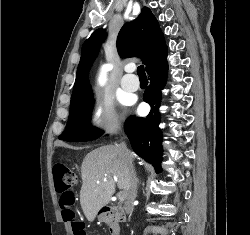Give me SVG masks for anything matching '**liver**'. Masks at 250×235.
I'll list each match as a JSON object with an SVG mask.
<instances>
[{
  "label": "liver",
  "mask_w": 250,
  "mask_h": 235,
  "mask_svg": "<svg viewBox=\"0 0 250 235\" xmlns=\"http://www.w3.org/2000/svg\"><path fill=\"white\" fill-rule=\"evenodd\" d=\"M81 176L80 204L90 222L110 202L116 181L126 192L130 183L127 166L121 160L117 146L113 145L88 153L82 162Z\"/></svg>",
  "instance_id": "obj_1"
}]
</instances>
